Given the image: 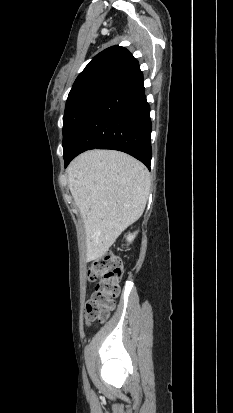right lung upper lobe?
<instances>
[{
	"instance_id": "1",
	"label": "right lung upper lobe",
	"mask_w": 233,
	"mask_h": 413,
	"mask_svg": "<svg viewBox=\"0 0 233 413\" xmlns=\"http://www.w3.org/2000/svg\"><path fill=\"white\" fill-rule=\"evenodd\" d=\"M138 65V61L124 47L112 46L93 58L75 80L70 92L102 78L117 79Z\"/></svg>"
}]
</instances>
